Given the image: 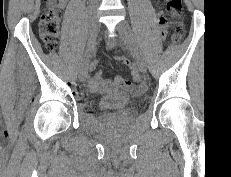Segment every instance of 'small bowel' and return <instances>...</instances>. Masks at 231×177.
I'll list each match as a JSON object with an SVG mask.
<instances>
[{
  "instance_id": "small-bowel-1",
  "label": "small bowel",
  "mask_w": 231,
  "mask_h": 177,
  "mask_svg": "<svg viewBox=\"0 0 231 177\" xmlns=\"http://www.w3.org/2000/svg\"><path fill=\"white\" fill-rule=\"evenodd\" d=\"M67 0H58L57 7L59 9H63L66 5ZM133 74L134 77L137 78L138 74L136 68L133 67ZM89 88L91 91L95 93H103L108 92L116 89H126V90H136V91H143L144 87L139 86L137 89L134 87L133 83L125 80L121 76H116L113 79H106L101 71L96 72L93 77L90 78L88 82Z\"/></svg>"
}]
</instances>
